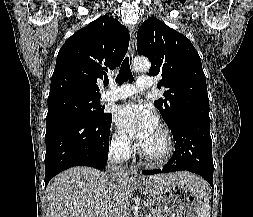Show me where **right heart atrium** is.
Instances as JSON below:
<instances>
[{"label":"right heart atrium","mask_w":253,"mask_h":217,"mask_svg":"<svg viewBox=\"0 0 253 217\" xmlns=\"http://www.w3.org/2000/svg\"><path fill=\"white\" fill-rule=\"evenodd\" d=\"M111 143L113 149L123 156H126L130 151V141L122 131H116L112 135Z\"/></svg>","instance_id":"d8ad5b80"}]
</instances>
